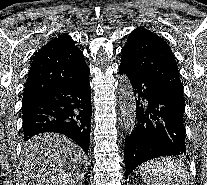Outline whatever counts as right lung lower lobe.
Here are the masks:
<instances>
[{
    "label": "right lung lower lobe",
    "mask_w": 207,
    "mask_h": 185,
    "mask_svg": "<svg viewBox=\"0 0 207 185\" xmlns=\"http://www.w3.org/2000/svg\"><path fill=\"white\" fill-rule=\"evenodd\" d=\"M24 141L42 132L66 135L87 153L91 131L89 72L82 78L22 102Z\"/></svg>",
    "instance_id": "obj_1"
}]
</instances>
